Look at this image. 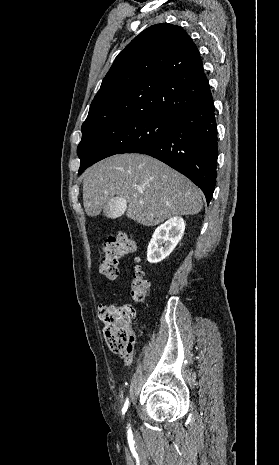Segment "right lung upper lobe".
Returning a JSON list of instances; mask_svg holds the SVG:
<instances>
[{
    "label": "right lung upper lobe",
    "mask_w": 279,
    "mask_h": 465,
    "mask_svg": "<svg viewBox=\"0 0 279 465\" xmlns=\"http://www.w3.org/2000/svg\"><path fill=\"white\" fill-rule=\"evenodd\" d=\"M209 94L200 53L190 36L179 26L156 24L118 54L82 130L136 116L173 118Z\"/></svg>",
    "instance_id": "right-lung-upper-lobe-1"
}]
</instances>
